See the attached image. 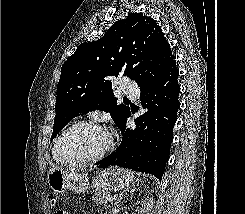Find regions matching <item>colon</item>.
<instances>
[{
	"label": "colon",
	"instance_id": "obj_1",
	"mask_svg": "<svg viewBox=\"0 0 245 214\" xmlns=\"http://www.w3.org/2000/svg\"><path fill=\"white\" fill-rule=\"evenodd\" d=\"M56 214H70V213L67 211L60 210Z\"/></svg>",
	"mask_w": 245,
	"mask_h": 214
}]
</instances>
